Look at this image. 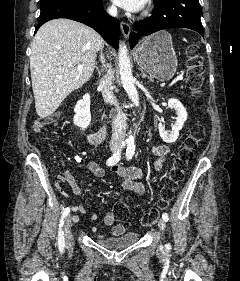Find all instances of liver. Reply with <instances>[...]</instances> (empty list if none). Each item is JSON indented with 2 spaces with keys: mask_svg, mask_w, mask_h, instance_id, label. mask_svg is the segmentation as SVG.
<instances>
[{
  "mask_svg": "<svg viewBox=\"0 0 240 281\" xmlns=\"http://www.w3.org/2000/svg\"><path fill=\"white\" fill-rule=\"evenodd\" d=\"M104 43L92 28L70 19L48 21L37 31L30 70L39 117L50 116L72 91L91 78ZM79 65L82 70L77 69Z\"/></svg>",
  "mask_w": 240,
  "mask_h": 281,
  "instance_id": "obj_1",
  "label": "liver"
}]
</instances>
